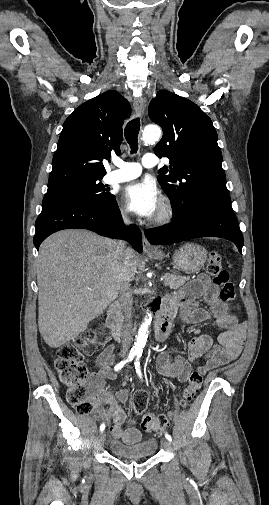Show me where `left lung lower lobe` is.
<instances>
[{"label":"left lung lower lobe","instance_id":"left-lung-lower-lobe-1","mask_svg":"<svg viewBox=\"0 0 269 505\" xmlns=\"http://www.w3.org/2000/svg\"><path fill=\"white\" fill-rule=\"evenodd\" d=\"M153 245L172 244L188 239L214 236L232 241L240 253L243 235L229 201H199L194 214L184 220L173 217L168 225L145 231Z\"/></svg>","mask_w":269,"mask_h":505}]
</instances>
